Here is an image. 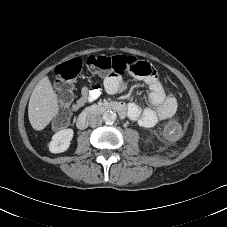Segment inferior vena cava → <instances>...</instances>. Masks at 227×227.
Listing matches in <instances>:
<instances>
[{"label":"inferior vena cava","mask_w":227,"mask_h":227,"mask_svg":"<svg viewBox=\"0 0 227 227\" xmlns=\"http://www.w3.org/2000/svg\"><path fill=\"white\" fill-rule=\"evenodd\" d=\"M101 123H102V118L100 115H92L89 118L90 127H97V126L101 125Z\"/></svg>","instance_id":"602c4592"}]
</instances>
